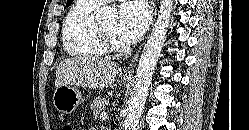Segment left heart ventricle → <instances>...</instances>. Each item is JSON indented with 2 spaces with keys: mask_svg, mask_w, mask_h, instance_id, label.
<instances>
[{
  "mask_svg": "<svg viewBox=\"0 0 249 130\" xmlns=\"http://www.w3.org/2000/svg\"><path fill=\"white\" fill-rule=\"evenodd\" d=\"M101 26L109 33L116 34L117 24L115 21L104 22Z\"/></svg>",
  "mask_w": 249,
  "mask_h": 130,
  "instance_id": "left-heart-ventricle-1",
  "label": "left heart ventricle"
}]
</instances>
